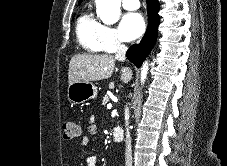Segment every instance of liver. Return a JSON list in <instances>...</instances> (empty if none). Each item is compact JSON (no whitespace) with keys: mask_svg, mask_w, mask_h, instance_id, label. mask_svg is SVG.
Instances as JSON below:
<instances>
[{"mask_svg":"<svg viewBox=\"0 0 227 166\" xmlns=\"http://www.w3.org/2000/svg\"><path fill=\"white\" fill-rule=\"evenodd\" d=\"M115 57L109 54H77L69 63V85L76 82H92L108 79L115 67ZM127 69L121 70L120 79L124 82L127 78Z\"/></svg>","mask_w":227,"mask_h":166,"instance_id":"1","label":"liver"}]
</instances>
